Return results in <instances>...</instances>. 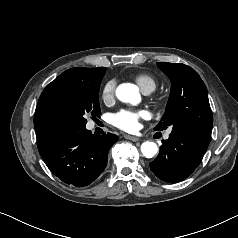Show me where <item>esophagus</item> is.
I'll return each mask as SVG.
<instances>
[{
	"label": "esophagus",
	"mask_w": 238,
	"mask_h": 238,
	"mask_svg": "<svg viewBox=\"0 0 238 238\" xmlns=\"http://www.w3.org/2000/svg\"><path fill=\"white\" fill-rule=\"evenodd\" d=\"M125 139L131 140L133 142H137L140 140L138 137L130 136V135H125Z\"/></svg>",
	"instance_id": "34e87169"
}]
</instances>
